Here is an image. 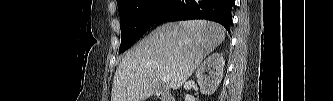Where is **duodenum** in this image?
Masks as SVG:
<instances>
[{
  "label": "duodenum",
  "mask_w": 333,
  "mask_h": 101,
  "mask_svg": "<svg viewBox=\"0 0 333 101\" xmlns=\"http://www.w3.org/2000/svg\"><path fill=\"white\" fill-rule=\"evenodd\" d=\"M158 97L160 98L161 101H175L174 98L170 95L168 91H160L158 93Z\"/></svg>",
  "instance_id": "obj_1"
}]
</instances>
